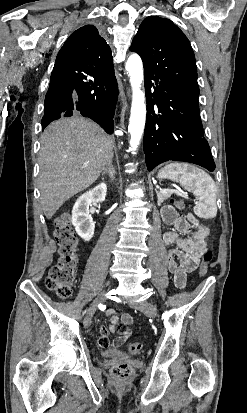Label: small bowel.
Listing matches in <instances>:
<instances>
[{
  "mask_svg": "<svg viewBox=\"0 0 247 413\" xmlns=\"http://www.w3.org/2000/svg\"><path fill=\"white\" fill-rule=\"evenodd\" d=\"M164 223L173 228L163 234V242L166 245L175 247L168 251V269L174 279V284L178 289L186 286L187 274L193 272L201 261V255L207 249L206 238L209 234L208 227L201 223L193 214L189 213L185 217H178L172 207H165L162 211ZM192 229L194 230L192 232ZM182 233L180 236L178 233ZM109 317V329L116 331L119 327V334L116 340L112 342L114 349H128V341L132 335L130 325L133 323V317L128 313H118L113 309L106 311ZM98 347L108 349L110 343L106 338L109 331L105 323L97 324Z\"/></svg>",
  "mask_w": 247,
  "mask_h": 413,
  "instance_id": "obj_1",
  "label": "small bowel"
}]
</instances>
